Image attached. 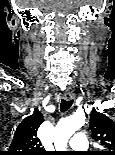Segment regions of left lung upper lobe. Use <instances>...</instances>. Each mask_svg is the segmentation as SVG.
<instances>
[{"instance_id":"5c2ea615","label":"left lung upper lobe","mask_w":115,"mask_h":155,"mask_svg":"<svg viewBox=\"0 0 115 155\" xmlns=\"http://www.w3.org/2000/svg\"><path fill=\"white\" fill-rule=\"evenodd\" d=\"M90 129L92 138L106 148V151H101L98 155H115V122L93 108Z\"/></svg>"}]
</instances>
